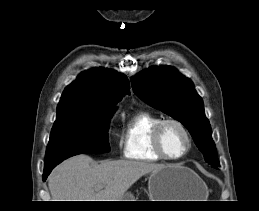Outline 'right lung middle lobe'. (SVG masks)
I'll use <instances>...</instances> for the list:
<instances>
[{
  "label": "right lung middle lobe",
  "mask_w": 259,
  "mask_h": 211,
  "mask_svg": "<svg viewBox=\"0 0 259 211\" xmlns=\"http://www.w3.org/2000/svg\"><path fill=\"white\" fill-rule=\"evenodd\" d=\"M113 111L74 109L57 115L46 150L45 167L77 154L110 151L109 120Z\"/></svg>",
  "instance_id": "1"
}]
</instances>
